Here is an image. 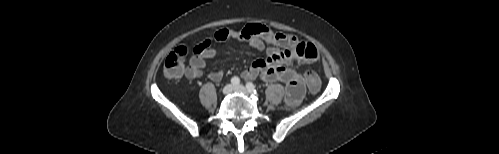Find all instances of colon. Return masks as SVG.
<instances>
[{
    "label": "colon",
    "instance_id": "obj_1",
    "mask_svg": "<svg viewBox=\"0 0 499 154\" xmlns=\"http://www.w3.org/2000/svg\"><path fill=\"white\" fill-rule=\"evenodd\" d=\"M188 55V49L185 46L176 47L166 58L164 62V75L168 79L179 78L184 69V62ZM304 83L312 93L319 91L321 81L314 70H308L304 74Z\"/></svg>",
    "mask_w": 499,
    "mask_h": 154
}]
</instances>
